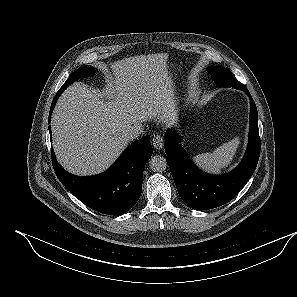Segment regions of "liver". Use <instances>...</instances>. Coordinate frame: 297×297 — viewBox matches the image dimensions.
<instances>
[{"instance_id": "obj_1", "label": "liver", "mask_w": 297, "mask_h": 297, "mask_svg": "<svg viewBox=\"0 0 297 297\" xmlns=\"http://www.w3.org/2000/svg\"><path fill=\"white\" fill-rule=\"evenodd\" d=\"M167 59V53H156L111 63L105 100L79 82L62 93L51 127L54 152L65 170L101 173L127 146L128 126L153 118L173 123L175 86Z\"/></svg>"}]
</instances>
